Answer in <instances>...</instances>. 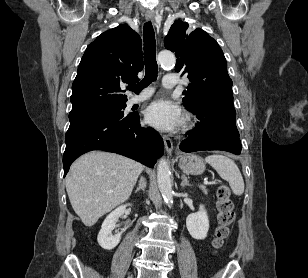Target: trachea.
<instances>
[{"label": "trachea", "instance_id": "3493384b", "mask_svg": "<svg viewBox=\"0 0 308 278\" xmlns=\"http://www.w3.org/2000/svg\"><path fill=\"white\" fill-rule=\"evenodd\" d=\"M144 62L145 77L137 85H130L129 90L139 93L157 78L155 33L151 22L144 24Z\"/></svg>", "mask_w": 308, "mask_h": 278}]
</instances>
